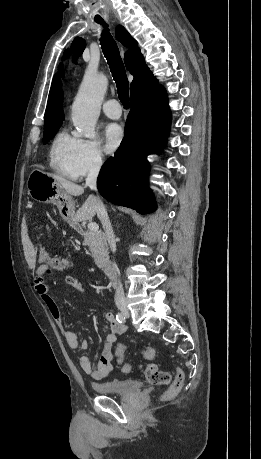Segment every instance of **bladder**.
<instances>
[{"instance_id":"31cf9c89","label":"bladder","mask_w":261,"mask_h":459,"mask_svg":"<svg viewBox=\"0 0 261 459\" xmlns=\"http://www.w3.org/2000/svg\"><path fill=\"white\" fill-rule=\"evenodd\" d=\"M141 387L142 383L138 379H113L92 384V388L99 394L128 395L139 391Z\"/></svg>"}]
</instances>
